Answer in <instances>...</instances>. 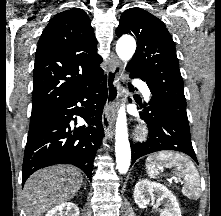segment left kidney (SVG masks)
Listing matches in <instances>:
<instances>
[{
    "instance_id": "obj_1",
    "label": "left kidney",
    "mask_w": 221,
    "mask_h": 216,
    "mask_svg": "<svg viewBox=\"0 0 221 216\" xmlns=\"http://www.w3.org/2000/svg\"><path fill=\"white\" fill-rule=\"evenodd\" d=\"M155 199H157V205L164 203V209L160 216H182L176 197L167 187L147 179L136 183L134 201L139 207L145 208L150 201H154Z\"/></svg>"
}]
</instances>
